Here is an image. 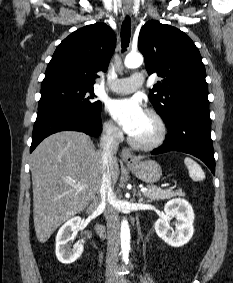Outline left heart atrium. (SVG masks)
<instances>
[{
    "label": "left heart atrium",
    "mask_w": 233,
    "mask_h": 283,
    "mask_svg": "<svg viewBox=\"0 0 233 283\" xmlns=\"http://www.w3.org/2000/svg\"><path fill=\"white\" fill-rule=\"evenodd\" d=\"M107 110L123 130L131 134L145 114L141 101L137 98H122L109 101Z\"/></svg>",
    "instance_id": "left-heart-atrium-1"
}]
</instances>
